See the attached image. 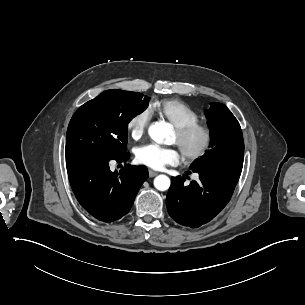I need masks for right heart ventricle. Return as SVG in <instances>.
I'll list each match as a JSON object with an SVG mask.
<instances>
[{"label":"right heart ventricle","mask_w":305,"mask_h":305,"mask_svg":"<svg viewBox=\"0 0 305 305\" xmlns=\"http://www.w3.org/2000/svg\"><path fill=\"white\" fill-rule=\"evenodd\" d=\"M149 110L167 118L175 127L200 122V115L177 99L156 100L150 104Z\"/></svg>","instance_id":"1"}]
</instances>
